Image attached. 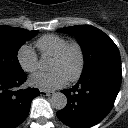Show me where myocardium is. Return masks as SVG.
<instances>
[{"label": "myocardium", "mask_w": 128, "mask_h": 128, "mask_svg": "<svg viewBox=\"0 0 128 128\" xmlns=\"http://www.w3.org/2000/svg\"><path fill=\"white\" fill-rule=\"evenodd\" d=\"M73 50L76 51L78 54L79 67L74 75L67 78V80L70 82L77 81L82 76V74L84 72L86 59H85V53H84L82 46L78 42L71 41V42L67 43L65 45V47L57 55H55L53 57V59L56 61H60V62L64 61L67 59L70 52Z\"/></svg>", "instance_id": "obj_1"}]
</instances>
